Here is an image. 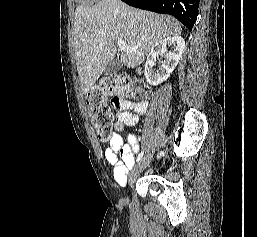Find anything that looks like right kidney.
<instances>
[{
	"mask_svg": "<svg viewBox=\"0 0 257 237\" xmlns=\"http://www.w3.org/2000/svg\"><path fill=\"white\" fill-rule=\"evenodd\" d=\"M169 47H171L173 51H168ZM184 48L185 41L178 35L166 37L153 45L145 63L144 73L147 82L156 86L166 81L177 66ZM158 55L164 56L166 60L159 70H155V61Z\"/></svg>",
	"mask_w": 257,
	"mask_h": 237,
	"instance_id": "ca27d5eb",
	"label": "right kidney"
}]
</instances>
